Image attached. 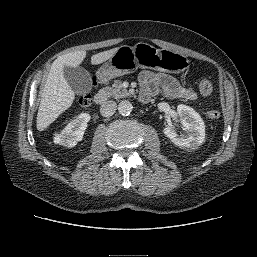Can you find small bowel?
Wrapping results in <instances>:
<instances>
[{"instance_id": "c3829d8e", "label": "small bowel", "mask_w": 257, "mask_h": 257, "mask_svg": "<svg viewBox=\"0 0 257 257\" xmlns=\"http://www.w3.org/2000/svg\"><path fill=\"white\" fill-rule=\"evenodd\" d=\"M141 85L140 99L147 102L160 93L167 99L194 100L196 91L191 84L183 85L181 81L170 74L145 70L139 75Z\"/></svg>"}]
</instances>
